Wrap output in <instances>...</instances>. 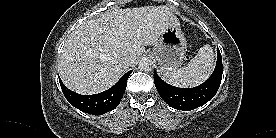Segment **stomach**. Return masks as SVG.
<instances>
[{"label": "stomach", "mask_w": 276, "mask_h": 138, "mask_svg": "<svg viewBox=\"0 0 276 138\" xmlns=\"http://www.w3.org/2000/svg\"><path fill=\"white\" fill-rule=\"evenodd\" d=\"M187 42L176 17L170 22L153 49L155 59L163 72L176 70L183 62Z\"/></svg>", "instance_id": "1"}]
</instances>
